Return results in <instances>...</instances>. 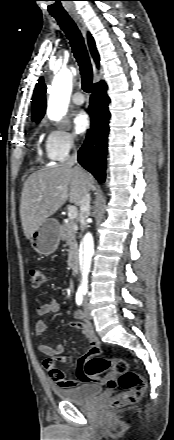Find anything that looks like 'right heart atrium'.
Here are the masks:
<instances>
[{"instance_id": "1", "label": "right heart atrium", "mask_w": 174, "mask_h": 440, "mask_svg": "<svg viewBox=\"0 0 174 440\" xmlns=\"http://www.w3.org/2000/svg\"><path fill=\"white\" fill-rule=\"evenodd\" d=\"M76 148V138L61 127H50L45 136V151L50 161H64Z\"/></svg>"}]
</instances>
